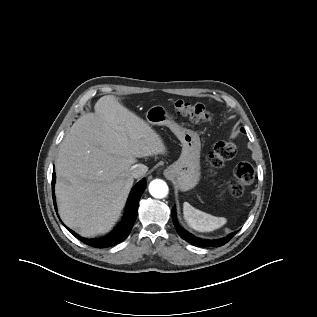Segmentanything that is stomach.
<instances>
[{"label":"stomach","instance_id":"1","mask_svg":"<svg viewBox=\"0 0 317 317\" xmlns=\"http://www.w3.org/2000/svg\"><path fill=\"white\" fill-rule=\"evenodd\" d=\"M146 120L150 125L168 126L180 140L181 155L165 169L164 174L174 181L177 190L185 192L193 189L200 180L199 135L176 123L162 105L150 107L146 112Z\"/></svg>","mask_w":317,"mask_h":317}]
</instances>
